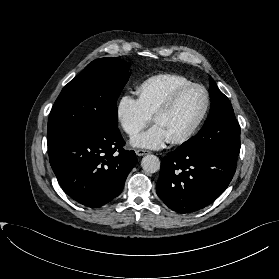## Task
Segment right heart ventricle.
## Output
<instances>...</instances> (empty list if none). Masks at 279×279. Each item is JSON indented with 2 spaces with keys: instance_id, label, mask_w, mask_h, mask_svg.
<instances>
[{
  "instance_id": "obj_1",
  "label": "right heart ventricle",
  "mask_w": 279,
  "mask_h": 279,
  "mask_svg": "<svg viewBox=\"0 0 279 279\" xmlns=\"http://www.w3.org/2000/svg\"><path fill=\"white\" fill-rule=\"evenodd\" d=\"M189 83L193 82L180 74L153 75L137 87L138 99L144 111L152 117L177 88Z\"/></svg>"
}]
</instances>
